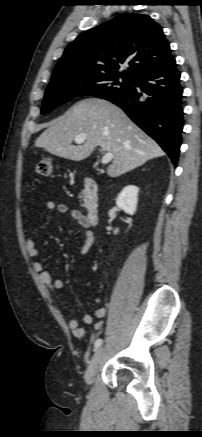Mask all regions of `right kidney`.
<instances>
[{
	"label": "right kidney",
	"mask_w": 202,
	"mask_h": 437,
	"mask_svg": "<svg viewBox=\"0 0 202 437\" xmlns=\"http://www.w3.org/2000/svg\"><path fill=\"white\" fill-rule=\"evenodd\" d=\"M139 188L134 185L126 186L116 199V205L129 215H134L137 208Z\"/></svg>",
	"instance_id": "right-kidney-1"
}]
</instances>
